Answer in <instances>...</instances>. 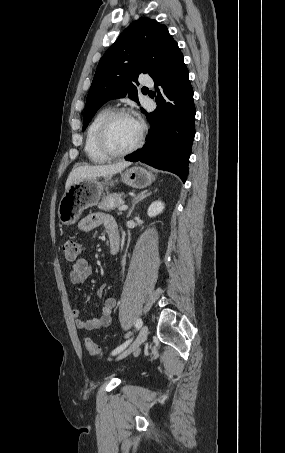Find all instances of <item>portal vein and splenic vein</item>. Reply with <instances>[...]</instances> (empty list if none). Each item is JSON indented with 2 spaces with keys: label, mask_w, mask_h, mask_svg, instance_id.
I'll return each mask as SVG.
<instances>
[{
  "label": "portal vein and splenic vein",
  "mask_w": 285,
  "mask_h": 453,
  "mask_svg": "<svg viewBox=\"0 0 285 453\" xmlns=\"http://www.w3.org/2000/svg\"><path fill=\"white\" fill-rule=\"evenodd\" d=\"M127 209H128V206L124 205L123 203H121V205L118 208L119 211H124V210H127Z\"/></svg>",
  "instance_id": "obj_1"
}]
</instances>
